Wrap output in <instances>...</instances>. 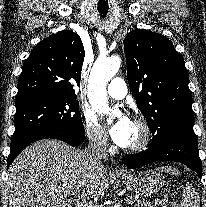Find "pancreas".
Returning <instances> with one entry per match:
<instances>
[{
	"instance_id": "cf45deb5",
	"label": "pancreas",
	"mask_w": 206,
	"mask_h": 207,
	"mask_svg": "<svg viewBox=\"0 0 206 207\" xmlns=\"http://www.w3.org/2000/svg\"><path fill=\"white\" fill-rule=\"evenodd\" d=\"M159 201H157V202H155L156 204L158 203ZM135 207H154V206H152L149 202H141V201H139V202H137L135 205H134Z\"/></svg>"
}]
</instances>
